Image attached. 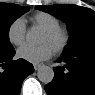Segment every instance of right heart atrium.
Returning <instances> with one entry per match:
<instances>
[{
	"label": "right heart atrium",
	"instance_id": "obj_1",
	"mask_svg": "<svg viewBox=\"0 0 95 95\" xmlns=\"http://www.w3.org/2000/svg\"><path fill=\"white\" fill-rule=\"evenodd\" d=\"M7 36L9 41L16 46H20L25 42L26 26L23 18H17L9 25Z\"/></svg>",
	"mask_w": 95,
	"mask_h": 95
}]
</instances>
